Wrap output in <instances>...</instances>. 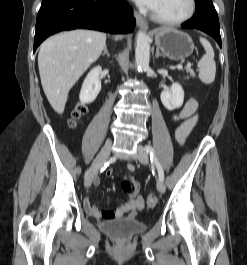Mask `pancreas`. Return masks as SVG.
Segmentation results:
<instances>
[{
	"label": "pancreas",
	"mask_w": 247,
	"mask_h": 265,
	"mask_svg": "<svg viewBox=\"0 0 247 265\" xmlns=\"http://www.w3.org/2000/svg\"><path fill=\"white\" fill-rule=\"evenodd\" d=\"M185 70H186L187 73L190 74V77H192V78L196 77L195 72L190 67H186ZM187 78H189V77H187Z\"/></svg>",
	"instance_id": "obj_1"
}]
</instances>
